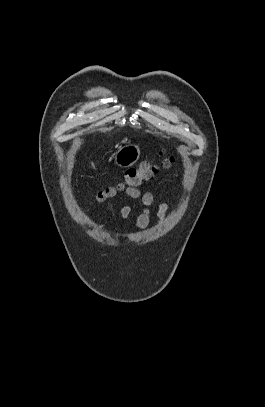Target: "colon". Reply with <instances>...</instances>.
I'll return each mask as SVG.
<instances>
[{"mask_svg":"<svg viewBox=\"0 0 265 407\" xmlns=\"http://www.w3.org/2000/svg\"><path fill=\"white\" fill-rule=\"evenodd\" d=\"M171 156L161 155L159 159L146 160L136 168L128 169L124 174L123 182L117 187H105L98 191L95 198L98 201L106 200L116 194L118 189L137 188L144 182L151 180L160 168H167L173 163Z\"/></svg>","mask_w":265,"mask_h":407,"instance_id":"colon-1","label":"colon"}]
</instances>
